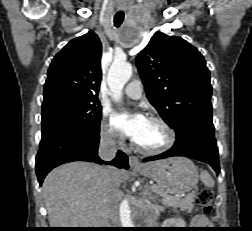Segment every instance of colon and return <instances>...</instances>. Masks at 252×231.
Wrapping results in <instances>:
<instances>
[{"label":"colon","mask_w":252,"mask_h":231,"mask_svg":"<svg viewBox=\"0 0 252 231\" xmlns=\"http://www.w3.org/2000/svg\"><path fill=\"white\" fill-rule=\"evenodd\" d=\"M213 192L210 189H202L196 197V205L205 214L208 215L212 210Z\"/></svg>","instance_id":"obj_1"}]
</instances>
